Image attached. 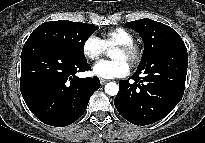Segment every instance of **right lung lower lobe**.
Returning a JSON list of instances; mask_svg holds the SVG:
<instances>
[{
    "instance_id": "1",
    "label": "right lung lower lobe",
    "mask_w": 205,
    "mask_h": 143,
    "mask_svg": "<svg viewBox=\"0 0 205 143\" xmlns=\"http://www.w3.org/2000/svg\"><path fill=\"white\" fill-rule=\"evenodd\" d=\"M86 60L41 38H28L21 53L20 90L30 111L43 123L64 127L85 112L99 89L98 77L79 78L90 70Z\"/></svg>"
}]
</instances>
